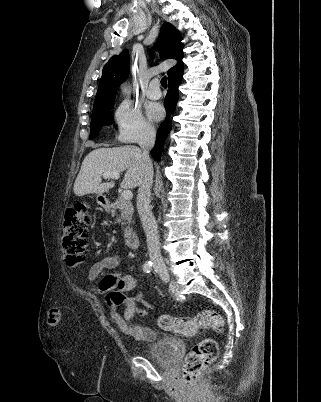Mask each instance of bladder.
Wrapping results in <instances>:
<instances>
[{
    "mask_svg": "<svg viewBox=\"0 0 321 402\" xmlns=\"http://www.w3.org/2000/svg\"><path fill=\"white\" fill-rule=\"evenodd\" d=\"M158 338L144 350L150 359L164 365L172 364L179 352L180 341L167 333H156Z\"/></svg>",
    "mask_w": 321,
    "mask_h": 402,
    "instance_id": "1",
    "label": "bladder"
}]
</instances>
